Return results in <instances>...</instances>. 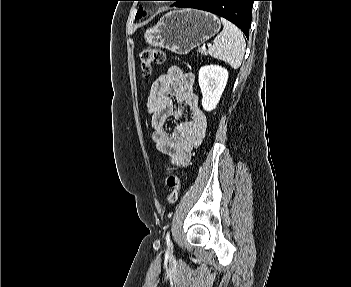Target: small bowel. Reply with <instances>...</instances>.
<instances>
[{
  "label": "small bowel",
  "mask_w": 351,
  "mask_h": 287,
  "mask_svg": "<svg viewBox=\"0 0 351 287\" xmlns=\"http://www.w3.org/2000/svg\"><path fill=\"white\" fill-rule=\"evenodd\" d=\"M193 81L192 74L172 66L153 82L146 104L156 148L179 166L188 164L192 150L201 144L207 128L206 115L193 90ZM172 99L178 108L174 107ZM185 109L190 114L189 120H182ZM171 117L181 121L169 131L166 122Z\"/></svg>",
  "instance_id": "small-bowel-1"
}]
</instances>
